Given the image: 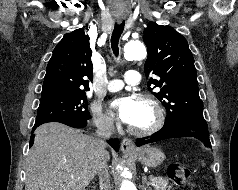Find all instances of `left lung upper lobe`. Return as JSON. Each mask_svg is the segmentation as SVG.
<instances>
[{
	"instance_id": "left-lung-upper-lobe-1",
	"label": "left lung upper lobe",
	"mask_w": 238,
	"mask_h": 190,
	"mask_svg": "<svg viewBox=\"0 0 238 190\" xmlns=\"http://www.w3.org/2000/svg\"><path fill=\"white\" fill-rule=\"evenodd\" d=\"M143 40L148 49L145 74L159 77L151 78L147 86L149 90L160 88L154 95L166 108L165 123L186 114H203L194 58L186 39L170 26L150 22Z\"/></svg>"
}]
</instances>
